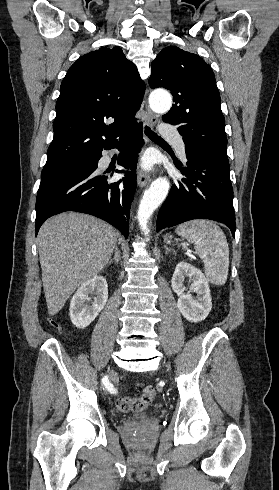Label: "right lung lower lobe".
<instances>
[{"mask_svg":"<svg viewBox=\"0 0 279 490\" xmlns=\"http://www.w3.org/2000/svg\"><path fill=\"white\" fill-rule=\"evenodd\" d=\"M142 145V129L136 128L123 136L120 142L105 148H119L118 164L131 169L117 182L111 183L108 176L97 174L98 161L102 157L100 152L90 157V171L40 183L36 198V234L49 217L64 211H76L107 221L127 238L130 206L136 190V159Z\"/></svg>","mask_w":279,"mask_h":490,"instance_id":"98d812e1","label":"right lung lower lobe"}]
</instances>
